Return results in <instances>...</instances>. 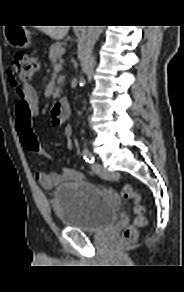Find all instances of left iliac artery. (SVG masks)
<instances>
[{
  "instance_id": "left-iliac-artery-1",
  "label": "left iliac artery",
  "mask_w": 184,
  "mask_h": 292,
  "mask_svg": "<svg viewBox=\"0 0 184 292\" xmlns=\"http://www.w3.org/2000/svg\"><path fill=\"white\" fill-rule=\"evenodd\" d=\"M82 154H83V158L85 159L86 162H88L90 164L94 163L95 158L89 150L84 149Z\"/></svg>"
}]
</instances>
